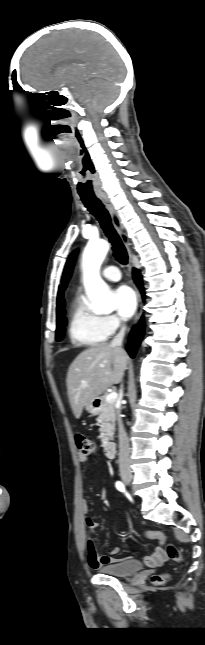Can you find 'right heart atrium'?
<instances>
[{
	"label": "right heart atrium",
	"mask_w": 205,
	"mask_h": 645,
	"mask_svg": "<svg viewBox=\"0 0 205 645\" xmlns=\"http://www.w3.org/2000/svg\"><path fill=\"white\" fill-rule=\"evenodd\" d=\"M104 323L109 334L114 333L121 327V321L114 315L105 316Z\"/></svg>",
	"instance_id": "obj_1"
}]
</instances>
